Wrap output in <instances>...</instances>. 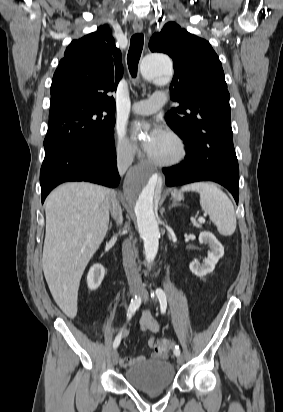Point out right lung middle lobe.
Segmentation results:
<instances>
[{
  "label": "right lung middle lobe",
  "instance_id": "1",
  "mask_svg": "<svg viewBox=\"0 0 283 412\" xmlns=\"http://www.w3.org/2000/svg\"><path fill=\"white\" fill-rule=\"evenodd\" d=\"M114 112L95 106L73 105L63 114L49 115L45 152L64 144L113 145Z\"/></svg>",
  "mask_w": 283,
  "mask_h": 412
}]
</instances>
